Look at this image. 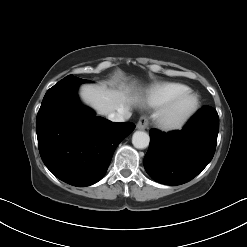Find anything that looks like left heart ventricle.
Returning <instances> with one entry per match:
<instances>
[{
	"label": "left heart ventricle",
	"mask_w": 247,
	"mask_h": 247,
	"mask_svg": "<svg viewBox=\"0 0 247 247\" xmlns=\"http://www.w3.org/2000/svg\"><path fill=\"white\" fill-rule=\"evenodd\" d=\"M190 103H191V100H189V99L183 101V102L179 105L178 111H179V112H183L185 109H187V108L189 107Z\"/></svg>",
	"instance_id": "obj_1"
}]
</instances>
